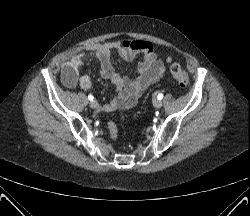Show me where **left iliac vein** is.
<instances>
[{"instance_id":"left-iliac-vein-1","label":"left iliac vein","mask_w":250,"mask_h":216,"mask_svg":"<svg viewBox=\"0 0 250 216\" xmlns=\"http://www.w3.org/2000/svg\"><path fill=\"white\" fill-rule=\"evenodd\" d=\"M153 105H154L155 108H161L162 107V101L159 100V99H155L153 101Z\"/></svg>"}]
</instances>
